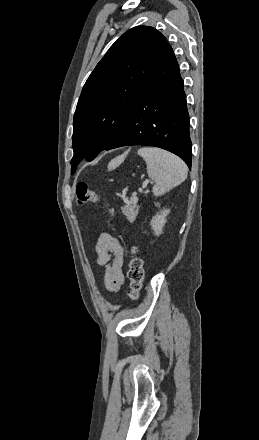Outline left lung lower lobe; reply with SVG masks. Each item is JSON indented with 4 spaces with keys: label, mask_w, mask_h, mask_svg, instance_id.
Wrapping results in <instances>:
<instances>
[{
    "label": "left lung lower lobe",
    "mask_w": 259,
    "mask_h": 440,
    "mask_svg": "<svg viewBox=\"0 0 259 440\" xmlns=\"http://www.w3.org/2000/svg\"><path fill=\"white\" fill-rule=\"evenodd\" d=\"M129 145L168 150L191 168L192 148L186 96L178 63L168 42L120 131L104 150Z\"/></svg>",
    "instance_id": "0a47b994"
}]
</instances>
